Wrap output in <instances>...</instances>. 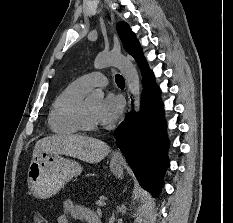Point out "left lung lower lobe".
I'll return each instance as SVG.
<instances>
[{"label": "left lung lower lobe", "mask_w": 233, "mask_h": 223, "mask_svg": "<svg viewBox=\"0 0 233 223\" xmlns=\"http://www.w3.org/2000/svg\"><path fill=\"white\" fill-rule=\"evenodd\" d=\"M136 61L143 76L142 109L138 114L129 113L114 137L141 186L157 197L169 165L163 107L160 90L142 52Z\"/></svg>", "instance_id": "1"}]
</instances>
